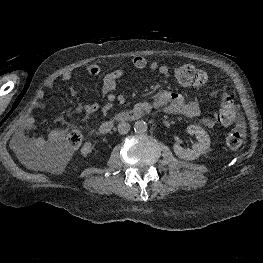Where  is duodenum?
I'll list each match as a JSON object with an SVG mask.
<instances>
[{"mask_svg":"<svg viewBox=\"0 0 263 263\" xmlns=\"http://www.w3.org/2000/svg\"><path fill=\"white\" fill-rule=\"evenodd\" d=\"M151 110L149 103H139L133 106L132 108L119 112L112 116L111 118L103 121L99 125V131L102 134L109 133L115 124L126 121H134L141 118L144 114L148 113Z\"/></svg>","mask_w":263,"mask_h":263,"instance_id":"410a0bca","label":"duodenum"}]
</instances>
